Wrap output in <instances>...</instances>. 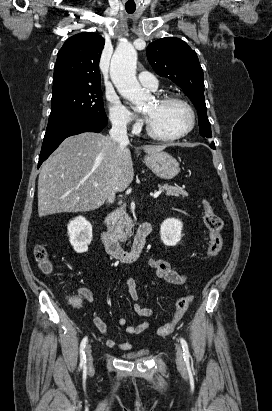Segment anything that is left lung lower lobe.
Returning <instances> with one entry per match:
<instances>
[{"mask_svg": "<svg viewBox=\"0 0 272 411\" xmlns=\"http://www.w3.org/2000/svg\"><path fill=\"white\" fill-rule=\"evenodd\" d=\"M211 148L215 149V145L214 143L211 144Z\"/></svg>", "mask_w": 272, "mask_h": 411, "instance_id": "0a47b994", "label": "left lung lower lobe"}]
</instances>
